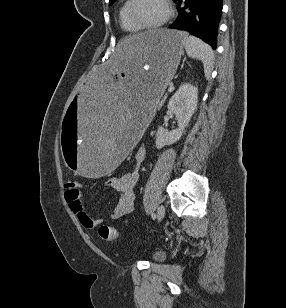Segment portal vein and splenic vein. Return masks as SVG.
<instances>
[{
	"instance_id": "18ae733b",
	"label": "portal vein and splenic vein",
	"mask_w": 286,
	"mask_h": 308,
	"mask_svg": "<svg viewBox=\"0 0 286 308\" xmlns=\"http://www.w3.org/2000/svg\"><path fill=\"white\" fill-rule=\"evenodd\" d=\"M173 89H174L173 86H170V87L168 88L169 91H171V90H173Z\"/></svg>"
}]
</instances>
